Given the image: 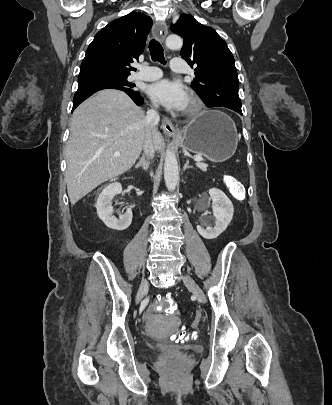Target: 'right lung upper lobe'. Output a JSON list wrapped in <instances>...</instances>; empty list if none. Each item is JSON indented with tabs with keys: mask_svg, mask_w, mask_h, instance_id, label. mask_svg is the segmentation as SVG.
<instances>
[{
	"mask_svg": "<svg viewBox=\"0 0 332 405\" xmlns=\"http://www.w3.org/2000/svg\"><path fill=\"white\" fill-rule=\"evenodd\" d=\"M152 20L147 15L131 12L110 22L89 45L80 74L116 73L130 75V63L142 54Z\"/></svg>",
	"mask_w": 332,
	"mask_h": 405,
	"instance_id": "cb5924a9",
	"label": "right lung upper lobe"
}]
</instances>
